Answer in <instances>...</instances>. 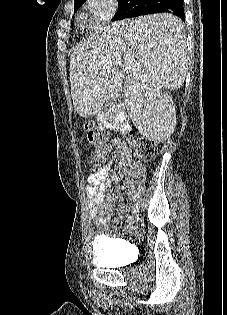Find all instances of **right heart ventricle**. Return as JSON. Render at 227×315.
Segmentation results:
<instances>
[{"instance_id": "right-heart-ventricle-1", "label": "right heart ventricle", "mask_w": 227, "mask_h": 315, "mask_svg": "<svg viewBox=\"0 0 227 315\" xmlns=\"http://www.w3.org/2000/svg\"><path fill=\"white\" fill-rule=\"evenodd\" d=\"M78 21L81 25H85L87 23V18L86 16L81 13L79 16H78Z\"/></svg>"}]
</instances>
